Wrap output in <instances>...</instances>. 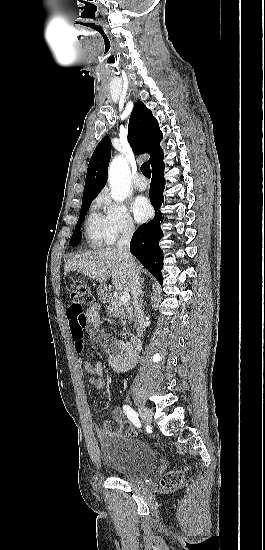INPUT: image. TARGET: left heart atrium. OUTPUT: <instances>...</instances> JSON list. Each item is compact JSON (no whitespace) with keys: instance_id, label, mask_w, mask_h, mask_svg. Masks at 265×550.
<instances>
[{"instance_id":"obj_1","label":"left heart atrium","mask_w":265,"mask_h":550,"mask_svg":"<svg viewBox=\"0 0 265 550\" xmlns=\"http://www.w3.org/2000/svg\"><path fill=\"white\" fill-rule=\"evenodd\" d=\"M132 211L136 221L143 222L151 215V206L145 197H138L133 202Z\"/></svg>"}]
</instances>
